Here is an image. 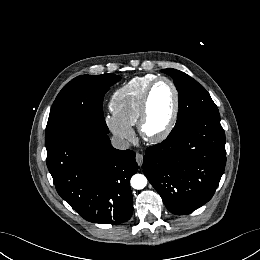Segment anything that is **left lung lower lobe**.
<instances>
[{
  "instance_id": "0a47b994",
  "label": "left lung lower lobe",
  "mask_w": 260,
  "mask_h": 260,
  "mask_svg": "<svg viewBox=\"0 0 260 260\" xmlns=\"http://www.w3.org/2000/svg\"><path fill=\"white\" fill-rule=\"evenodd\" d=\"M226 164L220 115L193 119L166 140L148 147L143 171L173 214H188L208 202Z\"/></svg>"
}]
</instances>
